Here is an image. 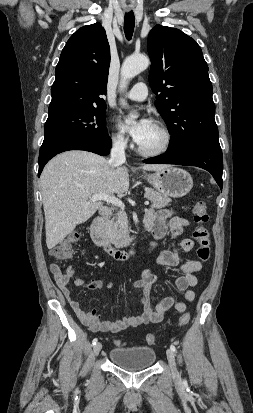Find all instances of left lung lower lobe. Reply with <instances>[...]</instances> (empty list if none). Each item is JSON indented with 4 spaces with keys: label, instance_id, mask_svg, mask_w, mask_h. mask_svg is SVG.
<instances>
[{
    "label": "left lung lower lobe",
    "instance_id": "left-lung-lower-lobe-1",
    "mask_svg": "<svg viewBox=\"0 0 253 413\" xmlns=\"http://www.w3.org/2000/svg\"><path fill=\"white\" fill-rule=\"evenodd\" d=\"M144 163L197 166L209 171L222 189L223 158L220 146L199 144L143 160Z\"/></svg>",
    "mask_w": 253,
    "mask_h": 413
}]
</instances>
